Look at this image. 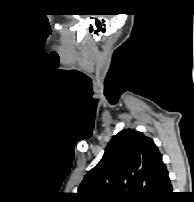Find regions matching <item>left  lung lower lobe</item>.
Segmentation results:
<instances>
[{"instance_id":"0a47b994","label":"left lung lower lobe","mask_w":194,"mask_h":202,"mask_svg":"<svg viewBox=\"0 0 194 202\" xmlns=\"http://www.w3.org/2000/svg\"><path fill=\"white\" fill-rule=\"evenodd\" d=\"M172 196V186L168 177V171L165 168L160 178L159 185L155 191L152 201L168 202Z\"/></svg>"}]
</instances>
